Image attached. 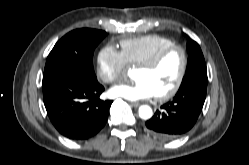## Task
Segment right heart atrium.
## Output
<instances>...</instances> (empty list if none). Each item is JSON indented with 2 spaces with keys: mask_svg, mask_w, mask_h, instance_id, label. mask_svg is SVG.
Wrapping results in <instances>:
<instances>
[{
  "mask_svg": "<svg viewBox=\"0 0 249 165\" xmlns=\"http://www.w3.org/2000/svg\"><path fill=\"white\" fill-rule=\"evenodd\" d=\"M127 63L121 51L106 45L97 56V76L104 83L118 81L124 74Z\"/></svg>",
  "mask_w": 249,
  "mask_h": 165,
  "instance_id": "right-heart-atrium-1",
  "label": "right heart atrium"
}]
</instances>
